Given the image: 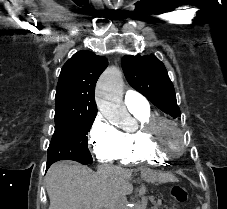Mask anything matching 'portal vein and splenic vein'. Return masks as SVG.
Listing matches in <instances>:
<instances>
[{
  "mask_svg": "<svg viewBox=\"0 0 227 209\" xmlns=\"http://www.w3.org/2000/svg\"><path fill=\"white\" fill-rule=\"evenodd\" d=\"M150 200H151V201H154V200H155V197H154V196H151V197H150Z\"/></svg>",
  "mask_w": 227,
  "mask_h": 209,
  "instance_id": "1",
  "label": "portal vein and splenic vein"
}]
</instances>
